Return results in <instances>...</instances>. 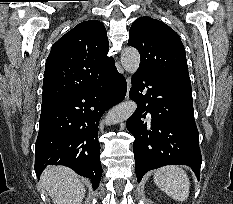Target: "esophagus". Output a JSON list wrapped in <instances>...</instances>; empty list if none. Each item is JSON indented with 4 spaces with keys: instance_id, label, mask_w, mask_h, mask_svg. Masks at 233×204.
<instances>
[{
    "instance_id": "obj_1",
    "label": "esophagus",
    "mask_w": 233,
    "mask_h": 204,
    "mask_svg": "<svg viewBox=\"0 0 233 204\" xmlns=\"http://www.w3.org/2000/svg\"><path fill=\"white\" fill-rule=\"evenodd\" d=\"M126 81H127V94H126V99H128V97H129V90H130V87H131L130 78H129L128 76L126 77Z\"/></svg>"
}]
</instances>
